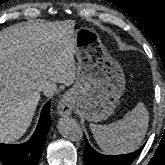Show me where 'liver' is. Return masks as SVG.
<instances>
[{"label":"liver","instance_id":"1","mask_svg":"<svg viewBox=\"0 0 165 165\" xmlns=\"http://www.w3.org/2000/svg\"><path fill=\"white\" fill-rule=\"evenodd\" d=\"M74 24L64 21L0 33V141H14L27 132L43 83L71 85L80 76L71 46L69 55L59 60L50 49L73 34Z\"/></svg>","mask_w":165,"mask_h":165}]
</instances>
